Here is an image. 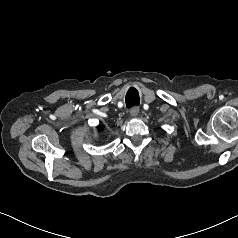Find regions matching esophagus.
<instances>
[{"label": "esophagus", "mask_w": 238, "mask_h": 238, "mask_svg": "<svg viewBox=\"0 0 238 238\" xmlns=\"http://www.w3.org/2000/svg\"><path fill=\"white\" fill-rule=\"evenodd\" d=\"M131 116L136 117L139 114V109L138 108H133L130 111Z\"/></svg>", "instance_id": "esophagus-1"}]
</instances>
